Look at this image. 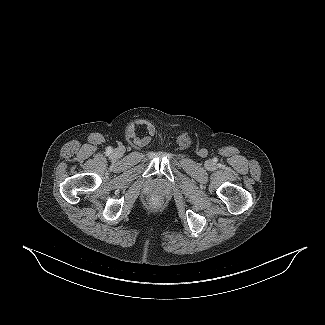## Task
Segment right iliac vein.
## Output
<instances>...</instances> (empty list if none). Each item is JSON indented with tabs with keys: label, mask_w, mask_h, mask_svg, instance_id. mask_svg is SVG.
<instances>
[{
	"label": "right iliac vein",
	"mask_w": 325,
	"mask_h": 325,
	"mask_svg": "<svg viewBox=\"0 0 325 325\" xmlns=\"http://www.w3.org/2000/svg\"><path fill=\"white\" fill-rule=\"evenodd\" d=\"M121 150H119V149H115L114 151H113V153H112V155H113V157L114 158H119L120 156H121Z\"/></svg>",
	"instance_id": "right-iliac-vein-1"
}]
</instances>
